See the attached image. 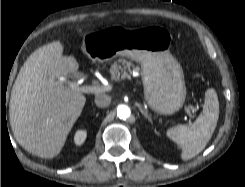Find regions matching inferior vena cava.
<instances>
[{"label":"inferior vena cava","mask_w":245,"mask_h":187,"mask_svg":"<svg viewBox=\"0 0 245 187\" xmlns=\"http://www.w3.org/2000/svg\"><path fill=\"white\" fill-rule=\"evenodd\" d=\"M110 102H111V98L110 96L106 94L98 93L95 95V104L98 107H101V108L107 107L109 106Z\"/></svg>","instance_id":"1"}]
</instances>
